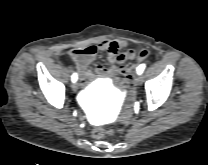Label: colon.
Returning <instances> with one entry per match:
<instances>
[{"mask_svg":"<svg viewBox=\"0 0 208 165\" xmlns=\"http://www.w3.org/2000/svg\"><path fill=\"white\" fill-rule=\"evenodd\" d=\"M74 52H79V49L75 50ZM148 55H149L148 50H142L139 53V58H133L132 61H129L127 64L119 68V72L122 75H125V77L122 79L123 80L122 86L129 87L131 90H134L137 87V80L132 75V69L135 66H139L141 64V59L147 58ZM124 91H125V88H124ZM113 134H114V131L112 129L103 128V127H97L92 132V136L96 139H102L106 136H111Z\"/></svg>","mask_w":208,"mask_h":165,"instance_id":"5ec220e1","label":"colon"}]
</instances>
